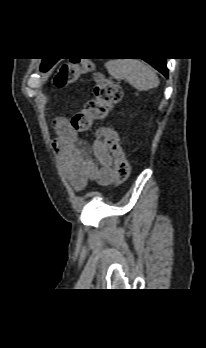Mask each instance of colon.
Masks as SVG:
<instances>
[{
  "label": "colon",
  "mask_w": 206,
  "mask_h": 348,
  "mask_svg": "<svg viewBox=\"0 0 206 348\" xmlns=\"http://www.w3.org/2000/svg\"><path fill=\"white\" fill-rule=\"evenodd\" d=\"M92 63L86 58H73L63 63L54 77V84L64 88L75 83L87 73ZM122 98V89L118 83L103 75L96 77L92 98L86 102L81 111L70 119L71 127L79 132L89 131L94 121L105 119L110 110ZM95 134L104 141L114 159V176L118 183H124L130 176L131 167L120 144L116 130L111 127H100Z\"/></svg>",
  "instance_id": "obj_1"
}]
</instances>
